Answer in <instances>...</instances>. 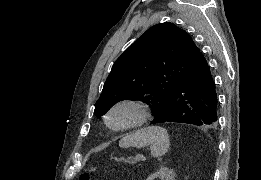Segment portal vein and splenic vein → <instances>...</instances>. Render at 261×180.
<instances>
[{
	"label": "portal vein and splenic vein",
	"mask_w": 261,
	"mask_h": 180,
	"mask_svg": "<svg viewBox=\"0 0 261 180\" xmlns=\"http://www.w3.org/2000/svg\"><path fill=\"white\" fill-rule=\"evenodd\" d=\"M141 157H142L141 153L134 154V161H141Z\"/></svg>",
	"instance_id": "obj_1"
}]
</instances>
